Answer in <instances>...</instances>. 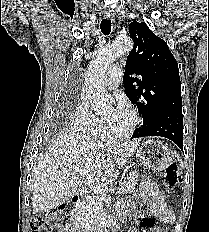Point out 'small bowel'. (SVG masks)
Returning <instances> with one entry per match:
<instances>
[{
    "label": "small bowel",
    "mask_w": 209,
    "mask_h": 232,
    "mask_svg": "<svg viewBox=\"0 0 209 232\" xmlns=\"http://www.w3.org/2000/svg\"><path fill=\"white\" fill-rule=\"evenodd\" d=\"M137 196L146 202L148 212V216L141 221V232H166L165 229L155 225V220L173 223L175 217L173 212L167 208L158 185L151 180H144L140 185ZM123 214L124 206L120 205L115 209L114 217L115 219H121Z\"/></svg>",
    "instance_id": "1"
}]
</instances>
